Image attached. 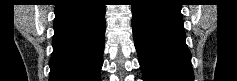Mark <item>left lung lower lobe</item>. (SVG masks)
Instances as JSON below:
<instances>
[{
  "label": "left lung lower lobe",
  "mask_w": 237,
  "mask_h": 81,
  "mask_svg": "<svg viewBox=\"0 0 237 81\" xmlns=\"http://www.w3.org/2000/svg\"><path fill=\"white\" fill-rule=\"evenodd\" d=\"M132 28L144 81H193L178 0H137Z\"/></svg>",
  "instance_id": "1"
}]
</instances>
